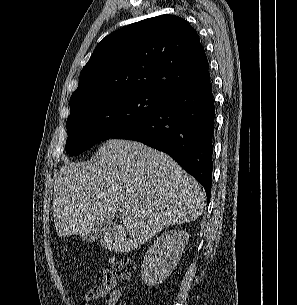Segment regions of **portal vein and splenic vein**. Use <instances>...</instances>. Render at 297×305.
<instances>
[{
  "mask_svg": "<svg viewBox=\"0 0 297 305\" xmlns=\"http://www.w3.org/2000/svg\"><path fill=\"white\" fill-rule=\"evenodd\" d=\"M118 212L123 215L124 214V210L123 209H118Z\"/></svg>",
  "mask_w": 297,
  "mask_h": 305,
  "instance_id": "18ae733b",
  "label": "portal vein and splenic vein"
}]
</instances>
